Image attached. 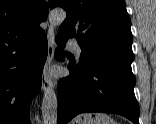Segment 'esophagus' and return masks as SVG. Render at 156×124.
<instances>
[{"label":"esophagus","instance_id":"1","mask_svg":"<svg viewBox=\"0 0 156 124\" xmlns=\"http://www.w3.org/2000/svg\"><path fill=\"white\" fill-rule=\"evenodd\" d=\"M47 42H48V54L42 75V89L44 92L48 91L53 86L51 78L49 76V68L53 60L55 46V33L54 28L52 26H50L47 32Z\"/></svg>","mask_w":156,"mask_h":124}]
</instances>
